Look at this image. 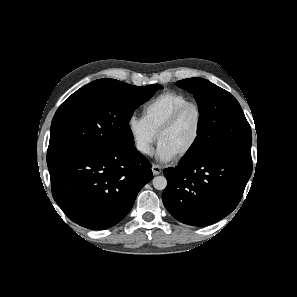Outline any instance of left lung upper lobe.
<instances>
[{
  "mask_svg": "<svg viewBox=\"0 0 297 297\" xmlns=\"http://www.w3.org/2000/svg\"><path fill=\"white\" fill-rule=\"evenodd\" d=\"M176 84L194 95L200 114L198 137L183 159L222 154L252 162L251 127L236 98L203 78Z\"/></svg>",
  "mask_w": 297,
  "mask_h": 297,
  "instance_id": "left-lung-upper-lobe-1",
  "label": "left lung upper lobe"
}]
</instances>
